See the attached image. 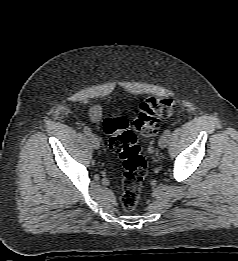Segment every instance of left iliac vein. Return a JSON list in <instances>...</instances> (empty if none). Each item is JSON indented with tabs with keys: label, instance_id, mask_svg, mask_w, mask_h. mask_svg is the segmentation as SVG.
<instances>
[{
	"label": "left iliac vein",
	"instance_id": "1",
	"mask_svg": "<svg viewBox=\"0 0 238 261\" xmlns=\"http://www.w3.org/2000/svg\"><path fill=\"white\" fill-rule=\"evenodd\" d=\"M167 144H168V136L166 134H162L159 138L160 148H165Z\"/></svg>",
	"mask_w": 238,
	"mask_h": 261
}]
</instances>
